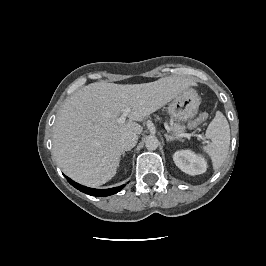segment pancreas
I'll use <instances>...</instances> for the list:
<instances>
[{"instance_id": "1", "label": "pancreas", "mask_w": 266, "mask_h": 266, "mask_svg": "<svg viewBox=\"0 0 266 266\" xmlns=\"http://www.w3.org/2000/svg\"><path fill=\"white\" fill-rule=\"evenodd\" d=\"M171 130L176 133V134H182L185 130V126L180 124V123H173V121H171V126H170Z\"/></svg>"}]
</instances>
